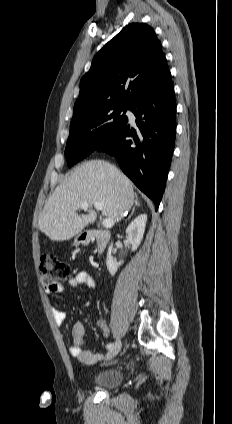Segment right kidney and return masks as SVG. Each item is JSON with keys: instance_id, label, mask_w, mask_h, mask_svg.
Listing matches in <instances>:
<instances>
[{"instance_id": "obj_1", "label": "right kidney", "mask_w": 232, "mask_h": 424, "mask_svg": "<svg viewBox=\"0 0 232 424\" xmlns=\"http://www.w3.org/2000/svg\"><path fill=\"white\" fill-rule=\"evenodd\" d=\"M147 222V215L140 214L138 215L126 229L127 239L131 244V250L135 251L141 244L143 239L145 227ZM113 244L108 248L106 266L109 273L113 276L115 275L118 267L123 263V261L117 262V260L111 255Z\"/></svg>"}]
</instances>
